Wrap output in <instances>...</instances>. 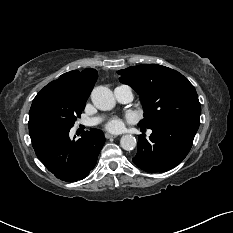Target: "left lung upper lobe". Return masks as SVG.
<instances>
[{
	"label": "left lung upper lobe",
	"mask_w": 233,
	"mask_h": 233,
	"mask_svg": "<svg viewBox=\"0 0 233 233\" xmlns=\"http://www.w3.org/2000/svg\"><path fill=\"white\" fill-rule=\"evenodd\" d=\"M119 80L140 95L144 119L139 126L150 128L162 122L199 125L201 105L194 86L179 72L157 64L119 70Z\"/></svg>",
	"instance_id": "left-lung-upper-lobe-1"
}]
</instances>
